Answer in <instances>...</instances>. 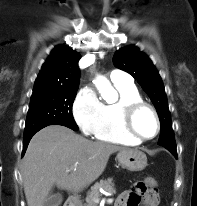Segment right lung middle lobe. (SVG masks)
Listing matches in <instances>:
<instances>
[{
    "label": "right lung middle lobe",
    "mask_w": 197,
    "mask_h": 206,
    "mask_svg": "<svg viewBox=\"0 0 197 206\" xmlns=\"http://www.w3.org/2000/svg\"><path fill=\"white\" fill-rule=\"evenodd\" d=\"M77 93L75 89L34 90L27 113L24 136L49 125H63L78 130L72 105Z\"/></svg>",
    "instance_id": "dd1d6c3e"
}]
</instances>
